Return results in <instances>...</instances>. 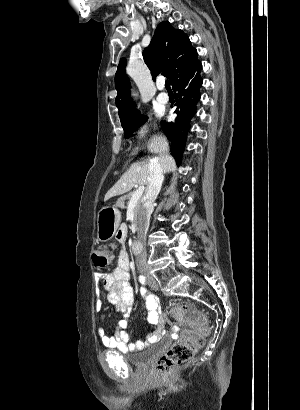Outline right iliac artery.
Listing matches in <instances>:
<instances>
[{
    "instance_id": "82829eb1",
    "label": "right iliac artery",
    "mask_w": 300,
    "mask_h": 410,
    "mask_svg": "<svg viewBox=\"0 0 300 410\" xmlns=\"http://www.w3.org/2000/svg\"><path fill=\"white\" fill-rule=\"evenodd\" d=\"M139 281H140V283H141L142 285H146L147 280H146V277H145V276L140 275V276H139Z\"/></svg>"
}]
</instances>
